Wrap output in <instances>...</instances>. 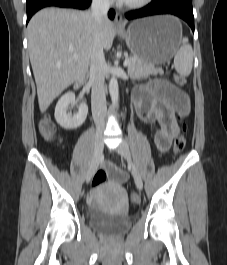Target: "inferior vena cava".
I'll return each instance as SVG.
<instances>
[{
	"label": "inferior vena cava",
	"instance_id": "602c4592",
	"mask_svg": "<svg viewBox=\"0 0 227 265\" xmlns=\"http://www.w3.org/2000/svg\"><path fill=\"white\" fill-rule=\"evenodd\" d=\"M109 7V0H92L91 14L96 24V36L90 59V82L92 84V115L97 133L104 130L107 110L105 90L107 65L105 62L103 46L100 41L99 26L104 19H107Z\"/></svg>",
	"mask_w": 227,
	"mask_h": 265
}]
</instances>
